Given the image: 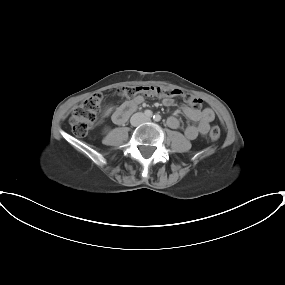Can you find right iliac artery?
I'll return each mask as SVG.
<instances>
[{
	"label": "right iliac artery",
	"instance_id": "82829eb1",
	"mask_svg": "<svg viewBox=\"0 0 285 285\" xmlns=\"http://www.w3.org/2000/svg\"><path fill=\"white\" fill-rule=\"evenodd\" d=\"M144 114H145V116H147V117H152V115H153V113H152L151 110H145Z\"/></svg>",
	"mask_w": 285,
	"mask_h": 285
}]
</instances>
